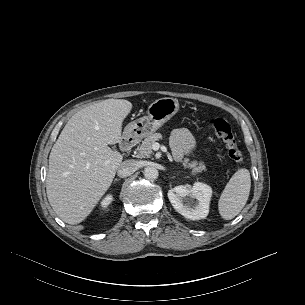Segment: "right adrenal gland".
I'll use <instances>...</instances> for the list:
<instances>
[{
	"instance_id": "1",
	"label": "right adrenal gland",
	"mask_w": 305,
	"mask_h": 305,
	"mask_svg": "<svg viewBox=\"0 0 305 305\" xmlns=\"http://www.w3.org/2000/svg\"><path fill=\"white\" fill-rule=\"evenodd\" d=\"M116 181H120V179L115 178L114 182H116Z\"/></svg>"
}]
</instances>
